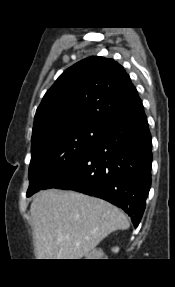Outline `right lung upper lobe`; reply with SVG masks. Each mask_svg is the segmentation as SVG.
Masks as SVG:
<instances>
[{
    "instance_id": "cb5924a9",
    "label": "right lung upper lobe",
    "mask_w": 175,
    "mask_h": 287,
    "mask_svg": "<svg viewBox=\"0 0 175 287\" xmlns=\"http://www.w3.org/2000/svg\"><path fill=\"white\" fill-rule=\"evenodd\" d=\"M123 67L113 59L88 57L63 72L39 105L32 141L68 125H109L142 107Z\"/></svg>"
}]
</instances>
